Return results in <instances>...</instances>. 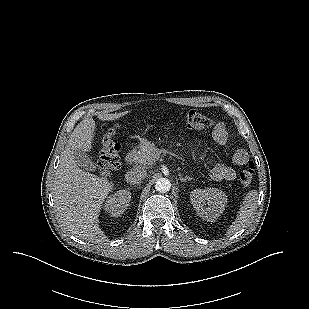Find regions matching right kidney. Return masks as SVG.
I'll use <instances>...</instances> for the list:
<instances>
[{"mask_svg": "<svg viewBox=\"0 0 309 309\" xmlns=\"http://www.w3.org/2000/svg\"><path fill=\"white\" fill-rule=\"evenodd\" d=\"M131 200V192L128 190H119L115 194L107 197L104 206L105 211L109 212L113 217H118L129 206Z\"/></svg>", "mask_w": 309, "mask_h": 309, "instance_id": "ca27d5eb", "label": "right kidney"}]
</instances>
